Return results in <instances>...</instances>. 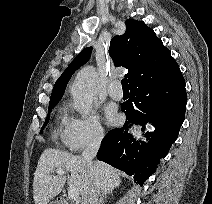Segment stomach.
Segmentation results:
<instances>
[{"instance_id":"obj_1","label":"stomach","mask_w":212,"mask_h":204,"mask_svg":"<svg viewBox=\"0 0 212 204\" xmlns=\"http://www.w3.org/2000/svg\"><path fill=\"white\" fill-rule=\"evenodd\" d=\"M50 204H56V202H52V203H50Z\"/></svg>"}]
</instances>
